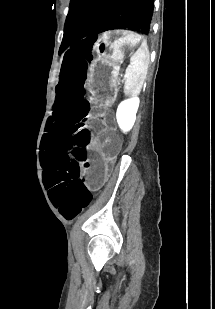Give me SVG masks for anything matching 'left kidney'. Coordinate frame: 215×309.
I'll return each instance as SVG.
<instances>
[{"label":"left kidney","instance_id":"obj_1","mask_svg":"<svg viewBox=\"0 0 215 309\" xmlns=\"http://www.w3.org/2000/svg\"><path fill=\"white\" fill-rule=\"evenodd\" d=\"M139 104L140 98H138V96H134V98H127V100H122V102L118 104L116 118L123 132H128V130L132 128L136 120V112L139 108Z\"/></svg>","mask_w":215,"mask_h":309}]
</instances>
